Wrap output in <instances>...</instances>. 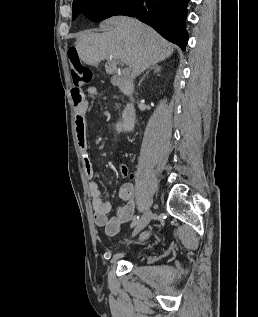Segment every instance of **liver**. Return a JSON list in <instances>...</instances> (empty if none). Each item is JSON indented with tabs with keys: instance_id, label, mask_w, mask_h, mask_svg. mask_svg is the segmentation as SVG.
Returning a JSON list of instances; mask_svg holds the SVG:
<instances>
[{
	"instance_id": "obj_1",
	"label": "liver",
	"mask_w": 258,
	"mask_h": 317,
	"mask_svg": "<svg viewBox=\"0 0 258 317\" xmlns=\"http://www.w3.org/2000/svg\"><path fill=\"white\" fill-rule=\"evenodd\" d=\"M101 30H86L75 44L80 60L86 64H98L107 58L105 70L114 74L112 82L118 84L117 60L130 64L131 76L141 74L151 64L165 60L174 50V44L162 38L154 28L130 16H111L100 24ZM107 26H113L108 30Z\"/></svg>"
}]
</instances>
